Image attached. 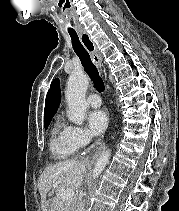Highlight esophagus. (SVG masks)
Returning <instances> with one entry per match:
<instances>
[{
	"label": "esophagus",
	"mask_w": 179,
	"mask_h": 211,
	"mask_svg": "<svg viewBox=\"0 0 179 211\" xmlns=\"http://www.w3.org/2000/svg\"><path fill=\"white\" fill-rule=\"evenodd\" d=\"M82 41L88 48V53L92 56L93 62L96 66H101L102 58L100 53L93 48L92 42L89 40L85 31H80ZM102 149H106V144H93V147H88V151H83V159L85 163H95V156H98V152H102Z\"/></svg>",
	"instance_id": "34e87169"
}]
</instances>
